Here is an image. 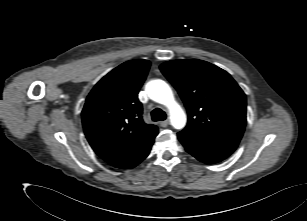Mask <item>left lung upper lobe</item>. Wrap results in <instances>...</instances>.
I'll list each match as a JSON object with an SVG mask.
<instances>
[{
  "label": "left lung upper lobe",
  "instance_id": "5c2ea615",
  "mask_svg": "<svg viewBox=\"0 0 307 221\" xmlns=\"http://www.w3.org/2000/svg\"><path fill=\"white\" fill-rule=\"evenodd\" d=\"M160 70L187 108L184 132L240 142L246 125V95L229 73L197 59L165 62Z\"/></svg>",
  "mask_w": 307,
  "mask_h": 221
}]
</instances>
